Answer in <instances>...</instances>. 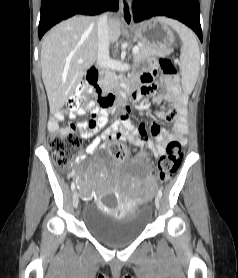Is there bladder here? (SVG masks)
Returning <instances> with one entry per match:
<instances>
[{
	"instance_id": "1",
	"label": "bladder",
	"mask_w": 238,
	"mask_h": 278,
	"mask_svg": "<svg viewBox=\"0 0 238 278\" xmlns=\"http://www.w3.org/2000/svg\"><path fill=\"white\" fill-rule=\"evenodd\" d=\"M151 219L145 205L122 217H115L99 209L95 204H85L82 222L88 233L97 241L108 246H119L137 239Z\"/></svg>"
}]
</instances>
